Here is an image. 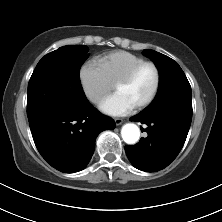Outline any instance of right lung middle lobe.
Instances as JSON below:
<instances>
[{
  "label": "right lung middle lobe",
  "instance_id": "obj_1",
  "mask_svg": "<svg viewBox=\"0 0 222 222\" xmlns=\"http://www.w3.org/2000/svg\"><path fill=\"white\" fill-rule=\"evenodd\" d=\"M88 50L85 45L63 46L39 61L28 84V111L40 107L71 108L87 101L79 71L89 56Z\"/></svg>",
  "mask_w": 222,
  "mask_h": 222
}]
</instances>
